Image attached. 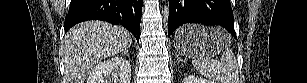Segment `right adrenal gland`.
<instances>
[{"label": "right adrenal gland", "instance_id": "right-adrenal-gland-1", "mask_svg": "<svg viewBox=\"0 0 307 83\" xmlns=\"http://www.w3.org/2000/svg\"><path fill=\"white\" fill-rule=\"evenodd\" d=\"M122 54H125L126 56H128V55H129V53H128V49H127V50H125V51H123V52H122Z\"/></svg>", "mask_w": 307, "mask_h": 83}]
</instances>
